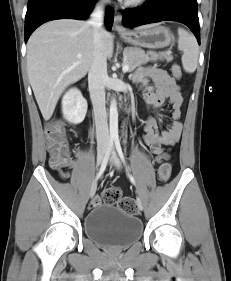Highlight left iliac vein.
Returning <instances> with one entry per match:
<instances>
[{"mask_svg": "<svg viewBox=\"0 0 231 281\" xmlns=\"http://www.w3.org/2000/svg\"><path fill=\"white\" fill-rule=\"evenodd\" d=\"M110 164L115 166L117 169H120V167H121L120 161L117 157V154H116L114 148L111 149ZM137 206H138L139 210H143V204L139 197L137 198Z\"/></svg>", "mask_w": 231, "mask_h": 281, "instance_id": "obj_1", "label": "left iliac vein"}]
</instances>
